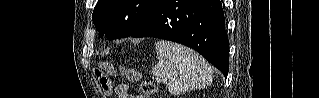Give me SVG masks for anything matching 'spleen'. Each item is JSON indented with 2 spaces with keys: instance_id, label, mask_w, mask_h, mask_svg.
<instances>
[{
  "instance_id": "3e777b00",
  "label": "spleen",
  "mask_w": 319,
  "mask_h": 98,
  "mask_svg": "<svg viewBox=\"0 0 319 98\" xmlns=\"http://www.w3.org/2000/svg\"><path fill=\"white\" fill-rule=\"evenodd\" d=\"M158 63L152 74L168 84L169 92L179 95L205 88L212 81V67L195 51L167 41L156 44Z\"/></svg>"
}]
</instances>
